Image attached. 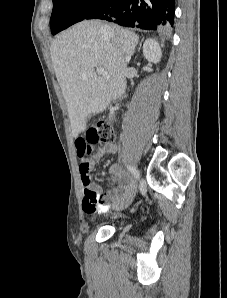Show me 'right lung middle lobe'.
<instances>
[{
	"instance_id": "dd1d6c3e",
	"label": "right lung middle lobe",
	"mask_w": 227,
	"mask_h": 298,
	"mask_svg": "<svg viewBox=\"0 0 227 298\" xmlns=\"http://www.w3.org/2000/svg\"><path fill=\"white\" fill-rule=\"evenodd\" d=\"M106 0H53L50 19L52 34H56L76 22L85 19Z\"/></svg>"
}]
</instances>
